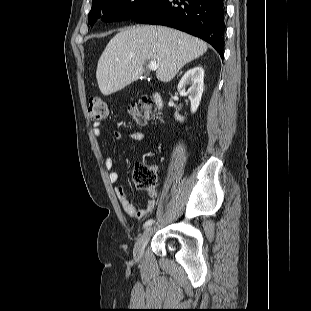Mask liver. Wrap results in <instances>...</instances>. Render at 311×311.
I'll use <instances>...</instances> for the list:
<instances>
[{"label":"liver","mask_w":311,"mask_h":311,"mask_svg":"<svg viewBox=\"0 0 311 311\" xmlns=\"http://www.w3.org/2000/svg\"><path fill=\"white\" fill-rule=\"evenodd\" d=\"M207 44L187 33L163 26L141 25L117 33L99 58L96 79L103 95L115 93L138 80L144 63L158 64L156 77L171 81L187 63L207 51Z\"/></svg>","instance_id":"obj_1"}]
</instances>
